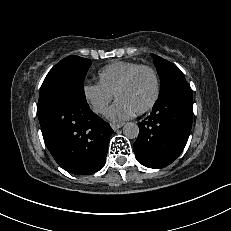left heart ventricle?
Here are the masks:
<instances>
[{
  "label": "left heart ventricle",
  "instance_id": "obj_1",
  "mask_svg": "<svg viewBox=\"0 0 231 231\" xmlns=\"http://www.w3.org/2000/svg\"><path fill=\"white\" fill-rule=\"evenodd\" d=\"M154 90V78L149 71L144 70L138 73L131 84L119 93L118 100L125 102L136 112L150 102Z\"/></svg>",
  "mask_w": 231,
  "mask_h": 231
}]
</instances>
